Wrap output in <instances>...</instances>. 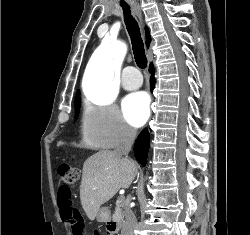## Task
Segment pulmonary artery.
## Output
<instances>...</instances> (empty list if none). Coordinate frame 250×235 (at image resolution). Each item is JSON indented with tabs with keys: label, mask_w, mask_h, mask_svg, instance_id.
I'll return each instance as SVG.
<instances>
[{
	"label": "pulmonary artery",
	"mask_w": 250,
	"mask_h": 235,
	"mask_svg": "<svg viewBox=\"0 0 250 235\" xmlns=\"http://www.w3.org/2000/svg\"><path fill=\"white\" fill-rule=\"evenodd\" d=\"M121 84L126 90H135L142 84V78L136 68L128 66L123 70Z\"/></svg>",
	"instance_id": "pulmonary-artery-1"
}]
</instances>
